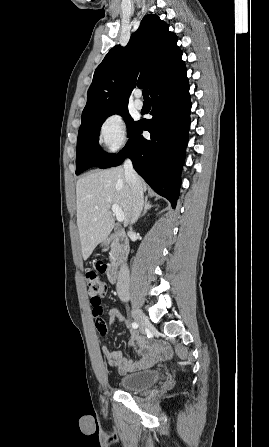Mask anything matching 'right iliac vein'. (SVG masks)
Masks as SVG:
<instances>
[{
	"label": "right iliac vein",
	"mask_w": 269,
	"mask_h": 447,
	"mask_svg": "<svg viewBox=\"0 0 269 447\" xmlns=\"http://www.w3.org/2000/svg\"><path fill=\"white\" fill-rule=\"evenodd\" d=\"M132 315L136 323L139 325L141 332H144L147 324L149 323L148 318L138 309H133Z\"/></svg>",
	"instance_id": "right-iliac-vein-1"
}]
</instances>
